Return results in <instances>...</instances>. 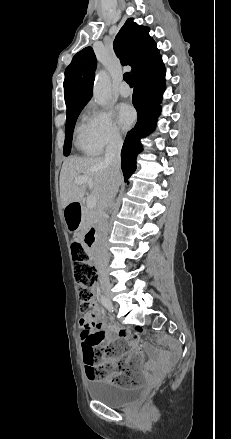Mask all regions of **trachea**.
Listing matches in <instances>:
<instances>
[{
    "label": "trachea",
    "mask_w": 231,
    "mask_h": 439,
    "mask_svg": "<svg viewBox=\"0 0 231 439\" xmlns=\"http://www.w3.org/2000/svg\"><path fill=\"white\" fill-rule=\"evenodd\" d=\"M124 80H125L130 86H134V82H133V78H132L131 73L126 72V73L124 74Z\"/></svg>",
    "instance_id": "3493384b"
}]
</instances>
